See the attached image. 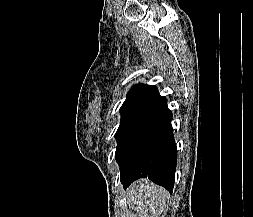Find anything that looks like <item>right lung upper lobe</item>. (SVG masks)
I'll return each mask as SVG.
<instances>
[{"mask_svg":"<svg viewBox=\"0 0 253 217\" xmlns=\"http://www.w3.org/2000/svg\"><path fill=\"white\" fill-rule=\"evenodd\" d=\"M161 96L158 94L156 86L138 84L133 87L124 103L128 102H148L153 103Z\"/></svg>","mask_w":253,"mask_h":217,"instance_id":"obj_1","label":"right lung upper lobe"}]
</instances>
